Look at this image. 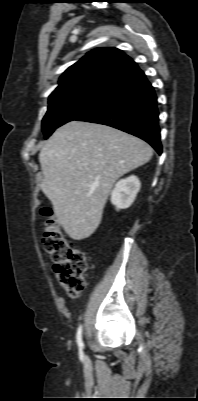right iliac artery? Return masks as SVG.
<instances>
[{
	"mask_svg": "<svg viewBox=\"0 0 198 401\" xmlns=\"http://www.w3.org/2000/svg\"><path fill=\"white\" fill-rule=\"evenodd\" d=\"M76 340H77V344L81 351L84 346L83 341H82V326L81 325L79 326V328L77 330Z\"/></svg>",
	"mask_w": 198,
	"mask_h": 401,
	"instance_id": "right-iliac-artery-1",
	"label": "right iliac artery"
}]
</instances>
